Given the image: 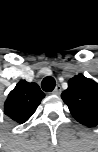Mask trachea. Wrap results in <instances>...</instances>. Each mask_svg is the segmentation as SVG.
Listing matches in <instances>:
<instances>
[{
  "label": "trachea",
  "instance_id": "3493384b",
  "mask_svg": "<svg viewBox=\"0 0 98 152\" xmlns=\"http://www.w3.org/2000/svg\"><path fill=\"white\" fill-rule=\"evenodd\" d=\"M55 85L56 81L51 76L45 77L41 82V87L46 92H51L55 88Z\"/></svg>",
  "mask_w": 98,
  "mask_h": 152
}]
</instances>
